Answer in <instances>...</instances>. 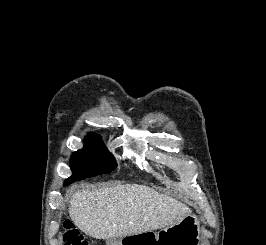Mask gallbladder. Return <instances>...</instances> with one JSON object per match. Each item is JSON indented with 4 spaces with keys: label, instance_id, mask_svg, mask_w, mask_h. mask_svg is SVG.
Wrapping results in <instances>:
<instances>
[{
    "label": "gallbladder",
    "instance_id": "1",
    "mask_svg": "<svg viewBox=\"0 0 266 245\" xmlns=\"http://www.w3.org/2000/svg\"><path fill=\"white\" fill-rule=\"evenodd\" d=\"M107 245H118L117 239H107Z\"/></svg>",
    "mask_w": 266,
    "mask_h": 245
}]
</instances>
